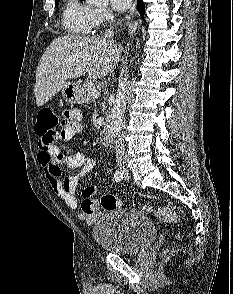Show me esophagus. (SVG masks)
Instances as JSON below:
<instances>
[{
	"mask_svg": "<svg viewBox=\"0 0 233 294\" xmlns=\"http://www.w3.org/2000/svg\"><path fill=\"white\" fill-rule=\"evenodd\" d=\"M136 3L137 1L135 0L130 11H129V14L127 15L126 17V20H127V24L129 25V33H133V31H135L136 27L133 23H131V17H133V15L135 14L136 12Z\"/></svg>",
	"mask_w": 233,
	"mask_h": 294,
	"instance_id": "obj_1",
	"label": "esophagus"
}]
</instances>
